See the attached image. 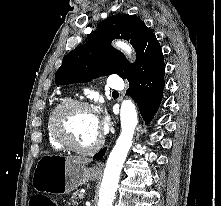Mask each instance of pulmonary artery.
Returning a JSON list of instances; mask_svg holds the SVG:
<instances>
[{
	"label": "pulmonary artery",
	"instance_id": "1",
	"mask_svg": "<svg viewBox=\"0 0 221 206\" xmlns=\"http://www.w3.org/2000/svg\"><path fill=\"white\" fill-rule=\"evenodd\" d=\"M107 86L114 90H122L124 88V82L118 75H110L107 79Z\"/></svg>",
	"mask_w": 221,
	"mask_h": 206
}]
</instances>
